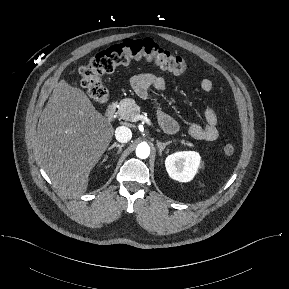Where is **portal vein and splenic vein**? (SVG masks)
Returning <instances> with one entry per match:
<instances>
[{
  "instance_id": "portal-vein-and-splenic-vein-1",
  "label": "portal vein and splenic vein",
  "mask_w": 289,
  "mask_h": 289,
  "mask_svg": "<svg viewBox=\"0 0 289 289\" xmlns=\"http://www.w3.org/2000/svg\"><path fill=\"white\" fill-rule=\"evenodd\" d=\"M137 120L144 121L145 123H147V124H149V125L152 124V123H151V120H150L147 116H144V115H137V116L135 117V121H137Z\"/></svg>"
}]
</instances>
